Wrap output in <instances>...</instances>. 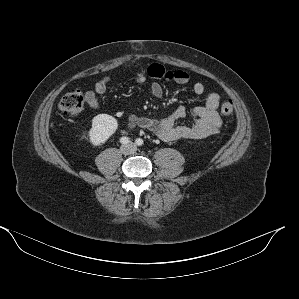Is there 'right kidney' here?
<instances>
[{"label":"right kidney","mask_w":299,"mask_h":299,"mask_svg":"<svg viewBox=\"0 0 299 299\" xmlns=\"http://www.w3.org/2000/svg\"><path fill=\"white\" fill-rule=\"evenodd\" d=\"M117 120L108 114H99L92 119V127L88 132L92 145L105 143L117 130Z\"/></svg>","instance_id":"obj_1"}]
</instances>
